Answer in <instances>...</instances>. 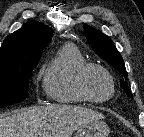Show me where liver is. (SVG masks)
<instances>
[{"instance_id":"liver-1","label":"liver","mask_w":144,"mask_h":137,"mask_svg":"<svg viewBox=\"0 0 144 137\" xmlns=\"http://www.w3.org/2000/svg\"><path fill=\"white\" fill-rule=\"evenodd\" d=\"M104 115L73 105L28 107L0 117V137H70Z\"/></svg>"}]
</instances>
